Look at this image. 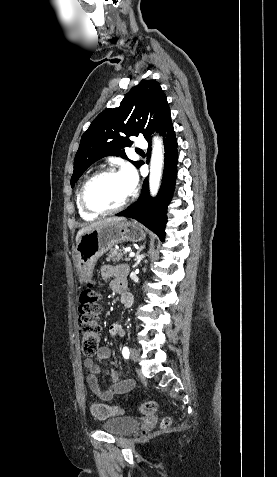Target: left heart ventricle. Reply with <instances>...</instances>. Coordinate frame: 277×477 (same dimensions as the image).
<instances>
[{
	"label": "left heart ventricle",
	"instance_id": "b2bd125f",
	"mask_svg": "<svg viewBox=\"0 0 277 477\" xmlns=\"http://www.w3.org/2000/svg\"><path fill=\"white\" fill-rule=\"evenodd\" d=\"M129 195L120 173L105 175L95 180L87 190L89 205L98 209L118 206Z\"/></svg>",
	"mask_w": 277,
	"mask_h": 477
}]
</instances>
